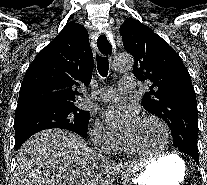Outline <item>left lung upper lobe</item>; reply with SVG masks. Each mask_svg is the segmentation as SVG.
Returning a JSON list of instances; mask_svg holds the SVG:
<instances>
[{"instance_id": "obj_1", "label": "left lung upper lobe", "mask_w": 207, "mask_h": 185, "mask_svg": "<svg viewBox=\"0 0 207 185\" xmlns=\"http://www.w3.org/2000/svg\"><path fill=\"white\" fill-rule=\"evenodd\" d=\"M120 35L124 49L135 59L134 75L150 84L143 107L167 123L174 147L198 154L196 95L182 59L164 39L133 18L124 21Z\"/></svg>"}]
</instances>
